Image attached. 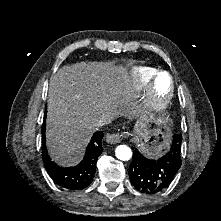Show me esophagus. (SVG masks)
<instances>
[{"label": "esophagus", "instance_id": "obj_1", "mask_svg": "<svg viewBox=\"0 0 221 221\" xmlns=\"http://www.w3.org/2000/svg\"><path fill=\"white\" fill-rule=\"evenodd\" d=\"M121 134L120 133H115V134H107L106 135V141L108 143H111V144H116V143H119L120 140H121Z\"/></svg>", "mask_w": 221, "mask_h": 221}]
</instances>
